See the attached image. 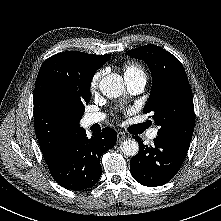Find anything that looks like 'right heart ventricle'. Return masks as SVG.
<instances>
[{
  "mask_svg": "<svg viewBox=\"0 0 221 221\" xmlns=\"http://www.w3.org/2000/svg\"><path fill=\"white\" fill-rule=\"evenodd\" d=\"M124 78H145L147 79V73L145 68L138 61H128L123 65Z\"/></svg>",
  "mask_w": 221,
  "mask_h": 221,
  "instance_id": "e07e8e85",
  "label": "right heart ventricle"
}]
</instances>
